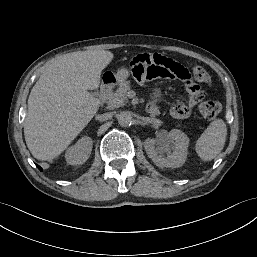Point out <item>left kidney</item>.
Listing matches in <instances>:
<instances>
[{"label": "left kidney", "mask_w": 257, "mask_h": 257, "mask_svg": "<svg viewBox=\"0 0 257 257\" xmlns=\"http://www.w3.org/2000/svg\"><path fill=\"white\" fill-rule=\"evenodd\" d=\"M189 145L188 136L178 129L162 132L144 141L148 157L159 167L177 168L184 164ZM166 154V156H164Z\"/></svg>", "instance_id": "1"}]
</instances>
